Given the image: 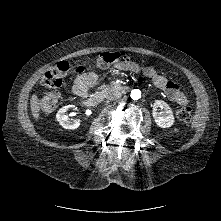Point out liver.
Masks as SVG:
<instances>
[{
	"instance_id": "obj_1",
	"label": "liver",
	"mask_w": 221,
	"mask_h": 221,
	"mask_svg": "<svg viewBox=\"0 0 221 221\" xmlns=\"http://www.w3.org/2000/svg\"><path fill=\"white\" fill-rule=\"evenodd\" d=\"M30 107L32 111V115L35 119L39 118V111H40V103L38 97L33 94L30 99Z\"/></svg>"
}]
</instances>
